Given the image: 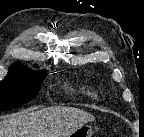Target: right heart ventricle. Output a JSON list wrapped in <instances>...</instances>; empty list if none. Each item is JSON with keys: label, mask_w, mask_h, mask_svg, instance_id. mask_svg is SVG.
<instances>
[{"label": "right heart ventricle", "mask_w": 144, "mask_h": 137, "mask_svg": "<svg viewBox=\"0 0 144 137\" xmlns=\"http://www.w3.org/2000/svg\"><path fill=\"white\" fill-rule=\"evenodd\" d=\"M79 92H81L82 94H85V95H91V96L93 95L92 91H90V90H88V89H86L84 87H81L79 89Z\"/></svg>", "instance_id": "e07e8e85"}]
</instances>
